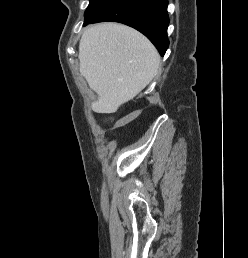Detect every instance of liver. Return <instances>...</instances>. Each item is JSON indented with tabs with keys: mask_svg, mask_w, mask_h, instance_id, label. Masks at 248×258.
Returning <instances> with one entry per match:
<instances>
[{
	"mask_svg": "<svg viewBox=\"0 0 248 258\" xmlns=\"http://www.w3.org/2000/svg\"><path fill=\"white\" fill-rule=\"evenodd\" d=\"M80 73L97 93L92 108L113 113L157 75L160 55L138 31L118 23L87 28L79 44Z\"/></svg>",
	"mask_w": 248,
	"mask_h": 258,
	"instance_id": "obj_1",
	"label": "liver"
}]
</instances>
